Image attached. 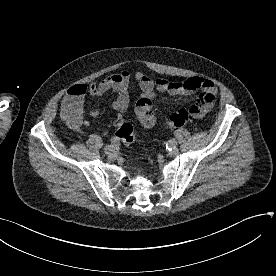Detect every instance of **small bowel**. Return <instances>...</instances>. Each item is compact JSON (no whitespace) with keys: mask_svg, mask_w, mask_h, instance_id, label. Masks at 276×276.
<instances>
[{"mask_svg":"<svg viewBox=\"0 0 276 276\" xmlns=\"http://www.w3.org/2000/svg\"><path fill=\"white\" fill-rule=\"evenodd\" d=\"M142 91L141 98H149L152 96L153 91L156 89L161 93H169L172 95H188L195 91H201L196 105L200 109L197 117L205 114L214 104L217 87L215 83L207 78L194 76L181 81H170L164 78L153 80L143 72H136L134 75ZM131 80V74L127 70H123L119 73L111 74L104 77L99 82H92L89 85H75L71 87L62 101V113L68 109H74L77 111V118L74 122H70L66 119L69 126L73 129H78L81 125L89 126L88 121L82 119L84 112L85 96L91 94L94 96H101L108 91H113L117 94V98L113 102V108L117 111V119H122V113H124L129 106V84ZM87 114L95 118L98 115V111L94 108L89 109ZM139 119L145 126L146 125L137 109Z\"/></svg>","mask_w":276,"mask_h":276,"instance_id":"obj_1","label":"small bowel"}]
</instances>
